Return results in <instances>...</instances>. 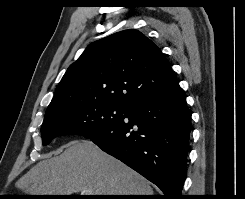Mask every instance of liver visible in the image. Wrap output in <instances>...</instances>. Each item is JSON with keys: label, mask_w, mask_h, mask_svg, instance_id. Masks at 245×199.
Masks as SVG:
<instances>
[{"label": "liver", "mask_w": 245, "mask_h": 199, "mask_svg": "<svg viewBox=\"0 0 245 199\" xmlns=\"http://www.w3.org/2000/svg\"><path fill=\"white\" fill-rule=\"evenodd\" d=\"M16 187L29 195H153L145 178L90 140L72 141L59 156L40 161Z\"/></svg>", "instance_id": "obj_1"}]
</instances>
